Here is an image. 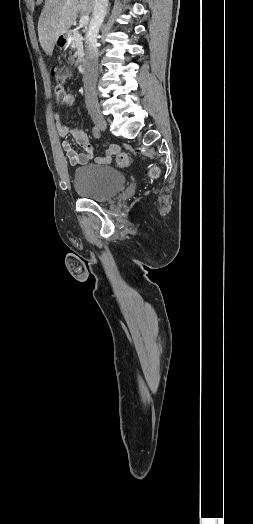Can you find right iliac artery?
Wrapping results in <instances>:
<instances>
[{"label":"right iliac artery","instance_id":"right-iliac-artery-1","mask_svg":"<svg viewBox=\"0 0 253 524\" xmlns=\"http://www.w3.org/2000/svg\"><path fill=\"white\" fill-rule=\"evenodd\" d=\"M92 133H93V136L95 138H97V139L100 138V130H99V128L97 126H94L92 128Z\"/></svg>","mask_w":253,"mask_h":524}]
</instances>
